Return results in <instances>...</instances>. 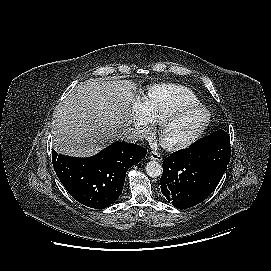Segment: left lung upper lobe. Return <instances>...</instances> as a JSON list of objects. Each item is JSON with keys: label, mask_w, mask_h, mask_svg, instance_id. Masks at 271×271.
<instances>
[{"label": "left lung upper lobe", "mask_w": 271, "mask_h": 271, "mask_svg": "<svg viewBox=\"0 0 271 271\" xmlns=\"http://www.w3.org/2000/svg\"><path fill=\"white\" fill-rule=\"evenodd\" d=\"M187 150L200 161L225 172L231 156L230 137L224 132L215 142L198 141Z\"/></svg>", "instance_id": "1"}]
</instances>
